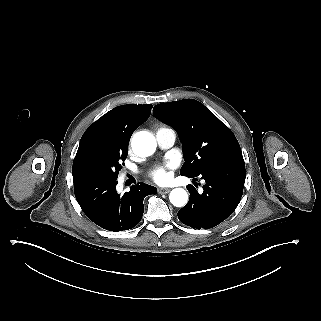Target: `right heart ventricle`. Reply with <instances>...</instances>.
Masks as SVG:
<instances>
[{
	"instance_id": "e07e8e85",
	"label": "right heart ventricle",
	"mask_w": 321,
	"mask_h": 321,
	"mask_svg": "<svg viewBox=\"0 0 321 321\" xmlns=\"http://www.w3.org/2000/svg\"><path fill=\"white\" fill-rule=\"evenodd\" d=\"M159 126H160V129H163L160 124H159Z\"/></svg>"
}]
</instances>
